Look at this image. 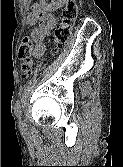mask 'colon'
<instances>
[{"instance_id": "obj_1", "label": "colon", "mask_w": 123, "mask_h": 167, "mask_svg": "<svg viewBox=\"0 0 123 167\" xmlns=\"http://www.w3.org/2000/svg\"><path fill=\"white\" fill-rule=\"evenodd\" d=\"M77 17V3L75 0H69L63 10L59 26L55 31L53 43L56 48L63 47L69 42ZM31 51L32 41L29 37H24L19 44L18 55L23 60L22 72L25 77L33 73L34 63L30 58Z\"/></svg>"}]
</instances>
